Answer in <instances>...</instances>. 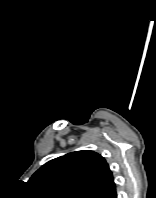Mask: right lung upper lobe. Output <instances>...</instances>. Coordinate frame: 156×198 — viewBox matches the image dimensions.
<instances>
[{"mask_svg":"<svg viewBox=\"0 0 156 198\" xmlns=\"http://www.w3.org/2000/svg\"><path fill=\"white\" fill-rule=\"evenodd\" d=\"M29 182L47 198H117L107 162L101 155L88 150L47 162Z\"/></svg>","mask_w":156,"mask_h":198,"instance_id":"1","label":"right lung upper lobe"}]
</instances>
